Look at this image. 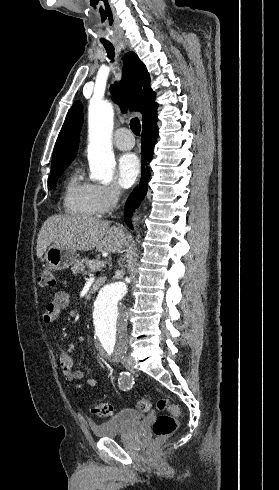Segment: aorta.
<instances>
[{"mask_svg":"<svg viewBox=\"0 0 279 490\" xmlns=\"http://www.w3.org/2000/svg\"><path fill=\"white\" fill-rule=\"evenodd\" d=\"M113 107L103 101L91 103L88 115V161L91 175L103 183L113 179L116 162L111 144ZM127 293L124 282L103 286L93 303V331L98 345L107 348L126 343L127 314L121 300Z\"/></svg>","mask_w":279,"mask_h":490,"instance_id":"aorta-1","label":"aorta"}]
</instances>
